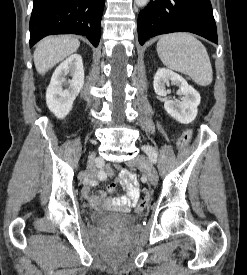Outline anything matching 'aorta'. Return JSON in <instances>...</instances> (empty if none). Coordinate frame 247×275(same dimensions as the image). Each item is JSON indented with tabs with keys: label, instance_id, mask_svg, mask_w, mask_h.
I'll return each mask as SVG.
<instances>
[{
	"label": "aorta",
	"instance_id": "762f6f07",
	"mask_svg": "<svg viewBox=\"0 0 247 275\" xmlns=\"http://www.w3.org/2000/svg\"><path fill=\"white\" fill-rule=\"evenodd\" d=\"M150 0H135V3L139 7H144Z\"/></svg>",
	"mask_w": 247,
	"mask_h": 275
}]
</instances>
